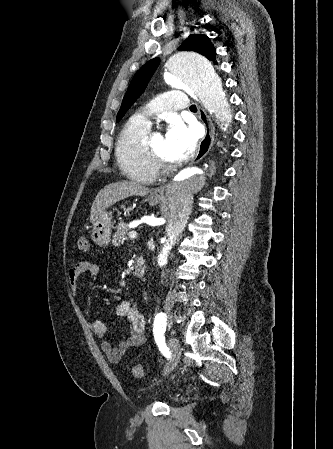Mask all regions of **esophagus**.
I'll return each mask as SVG.
<instances>
[{
    "label": "esophagus",
    "instance_id": "obj_1",
    "mask_svg": "<svg viewBox=\"0 0 333 449\" xmlns=\"http://www.w3.org/2000/svg\"><path fill=\"white\" fill-rule=\"evenodd\" d=\"M199 117L201 122L205 127V135L202 138L197 154L193 159V163L199 162L210 150L213 145L214 137H215V128L213 122L209 115L205 112V110L199 107ZM152 195L155 197H163L164 195V186H160L156 188Z\"/></svg>",
    "mask_w": 333,
    "mask_h": 449
}]
</instances>
